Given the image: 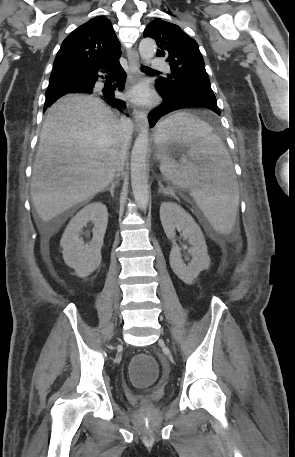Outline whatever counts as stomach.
<instances>
[{
	"label": "stomach",
	"mask_w": 295,
	"mask_h": 457,
	"mask_svg": "<svg viewBox=\"0 0 295 457\" xmlns=\"http://www.w3.org/2000/svg\"><path fill=\"white\" fill-rule=\"evenodd\" d=\"M185 145L182 140L169 139L164 144V149L162 152L157 154V159L159 160H171V153L175 150L176 147Z\"/></svg>",
	"instance_id": "stomach-1"
}]
</instances>
